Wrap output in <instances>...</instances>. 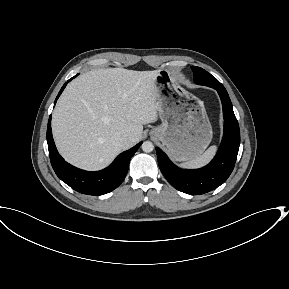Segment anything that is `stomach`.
<instances>
[{
  "label": "stomach",
  "instance_id": "1",
  "mask_svg": "<svg viewBox=\"0 0 289 289\" xmlns=\"http://www.w3.org/2000/svg\"><path fill=\"white\" fill-rule=\"evenodd\" d=\"M162 124L150 136L162 143L176 161L200 156L212 140V127L203 102L186 91L168 70H160L155 82Z\"/></svg>",
  "mask_w": 289,
  "mask_h": 289
}]
</instances>
